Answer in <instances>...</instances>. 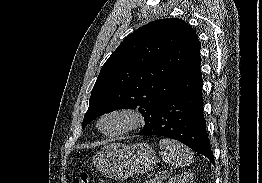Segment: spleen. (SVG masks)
Returning a JSON list of instances; mask_svg holds the SVG:
<instances>
[{
    "label": "spleen",
    "instance_id": "spleen-1",
    "mask_svg": "<svg viewBox=\"0 0 262 183\" xmlns=\"http://www.w3.org/2000/svg\"><path fill=\"white\" fill-rule=\"evenodd\" d=\"M159 147L163 161L172 167L187 166L193 162L191 150L176 140L161 139Z\"/></svg>",
    "mask_w": 262,
    "mask_h": 183
}]
</instances>
